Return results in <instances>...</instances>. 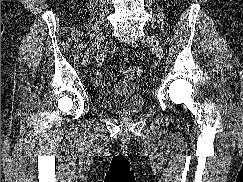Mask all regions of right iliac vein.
Here are the masks:
<instances>
[{
    "label": "right iliac vein",
    "instance_id": "1",
    "mask_svg": "<svg viewBox=\"0 0 243 182\" xmlns=\"http://www.w3.org/2000/svg\"><path fill=\"white\" fill-rule=\"evenodd\" d=\"M105 39V37L103 35H99L97 36L92 45L88 48L87 52L84 55L83 58V64L84 66H87L96 50V48H98V46L101 44V42Z\"/></svg>",
    "mask_w": 243,
    "mask_h": 182
}]
</instances>
